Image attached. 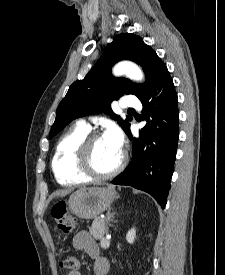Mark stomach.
Wrapping results in <instances>:
<instances>
[{
    "label": "stomach",
    "instance_id": "0dacf381",
    "mask_svg": "<svg viewBox=\"0 0 225 275\" xmlns=\"http://www.w3.org/2000/svg\"><path fill=\"white\" fill-rule=\"evenodd\" d=\"M115 198L116 191L111 187H91L73 193L66 206L81 219H93L109 209Z\"/></svg>",
    "mask_w": 225,
    "mask_h": 275
}]
</instances>
